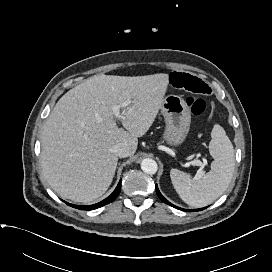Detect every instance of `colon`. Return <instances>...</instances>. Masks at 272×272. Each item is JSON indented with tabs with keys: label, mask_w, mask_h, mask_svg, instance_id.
Wrapping results in <instances>:
<instances>
[{
	"label": "colon",
	"mask_w": 272,
	"mask_h": 272,
	"mask_svg": "<svg viewBox=\"0 0 272 272\" xmlns=\"http://www.w3.org/2000/svg\"><path fill=\"white\" fill-rule=\"evenodd\" d=\"M186 103L190 107L192 114L195 116H200L204 114L208 106L204 98L197 96L187 97Z\"/></svg>",
	"instance_id": "obj_1"
}]
</instances>
